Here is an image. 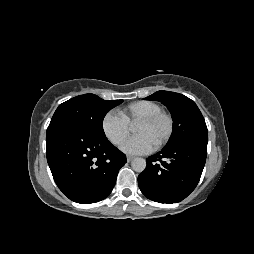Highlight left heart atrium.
Returning <instances> with one entry per match:
<instances>
[{"label": "left heart atrium", "instance_id": "obj_1", "mask_svg": "<svg viewBox=\"0 0 254 254\" xmlns=\"http://www.w3.org/2000/svg\"><path fill=\"white\" fill-rule=\"evenodd\" d=\"M154 148L152 141L145 135L139 134L127 139L121 149L131 155L145 154Z\"/></svg>", "mask_w": 254, "mask_h": 254}]
</instances>
